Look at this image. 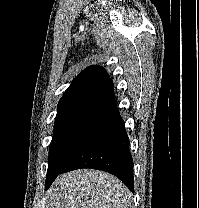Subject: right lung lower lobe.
<instances>
[{"label":"right lung lower lobe","instance_id":"right-lung-lower-lobe-1","mask_svg":"<svg viewBox=\"0 0 199 208\" xmlns=\"http://www.w3.org/2000/svg\"><path fill=\"white\" fill-rule=\"evenodd\" d=\"M124 125L116 100L101 108L69 160L46 181L45 189L59 174L93 168L115 175L134 192L133 160Z\"/></svg>","mask_w":199,"mask_h":208}]
</instances>
